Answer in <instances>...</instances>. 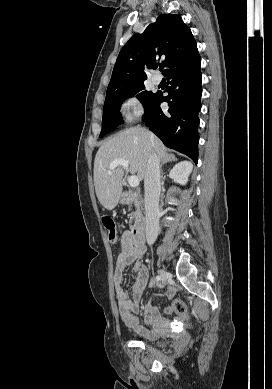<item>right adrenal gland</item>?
<instances>
[{
	"instance_id": "2a0ac1e0",
	"label": "right adrenal gland",
	"mask_w": 272,
	"mask_h": 389,
	"mask_svg": "<svg viewBox=\"0 0 272 389\" xmlns=\"http://www.w3.org/2000/svg\"><path fill=\"white\" fill-rule=\"evenodd\" d=\"M172 161H177V159H176L174 156H168V157L162 159L161 168H162L165 164H167V163H169V162H172ZM161 171H162V170H161Z\"/></svg>"
}]
</instances>
